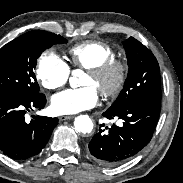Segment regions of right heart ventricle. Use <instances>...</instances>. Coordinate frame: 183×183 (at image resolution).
Returning a JSON list of instances; mask_svg holds the SVG:
<instances>
[{
	"instance_id": "right-heart-ventricle-1",
	"label": "right heart ventricle",
	"mask_w": 183,
	"mask_h": 183,
	"mask_svg": "<svg viewBox=\"0 0 183 183\" xmlns=\"http://www.w3.org/2000/svg\"><path fill=\"white\" fill-rule=\"evenodd\" d=\"M70 63L74 67L89 69L116 57L115 49L102 41H84L68 50Z\"/></svg>"
}]
</instances>
